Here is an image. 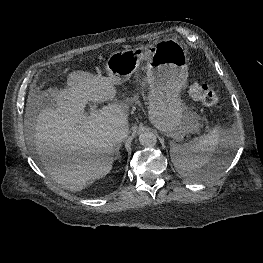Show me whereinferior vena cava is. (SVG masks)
I'll list each match as a JSON object with an SVG mask.
<instances>
[{"label":"inferior vena cava","instance_id":"inferior-vena-cava-1","mask_svg":"<svg viewBox=\"0 0 263 263\" xmlns=\"http://www.w3.org/2000/svg\"><path fill=\"white\" fill-rule=\"evenodd\" d=\"M127 135H128V129L126 127H120L111 130L109 136L113 144H117L124 141Z\"/></svg>","mask_w":263,"mask_h":263}]
</instances>
